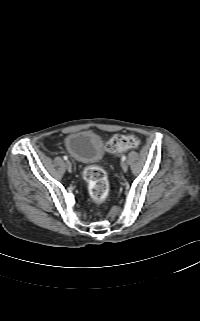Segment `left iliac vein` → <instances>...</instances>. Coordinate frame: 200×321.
Listing matches in <instances>:
<instances>
[{"label":"left iliac vein","mask_w":200,"mask_h":321,"mask_svg":"<svg viewBox=\"0 0 200 321\" xmlns=\"http://www.w3.org/2000/svg\"><path fill=\"white\" fill-rule=\"evenodd\" d=\"M121 167H122V170H123L124 172H127V170H128V165H127L126 162L122 161V162H121Z\"/></svg>","instance_id":"left-iliac-vein-1"}]
</instances>
